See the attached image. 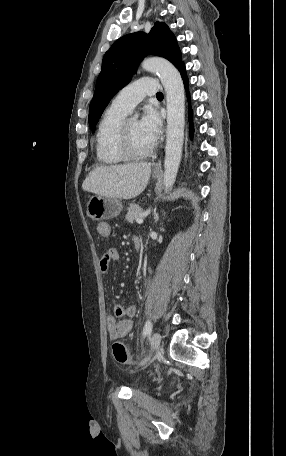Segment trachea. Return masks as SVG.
I'll use <instances>...</instances> for the list:
<instances>
[{
    "mask_svg": "<svg viewBox=\"0 0 286 456\" xmlns=\"http://www.w3.org/2000/svg\"><path fill=\"white\" fill-rule=\"evenodd\" d=\"M156 97H163L162 92H158V93L156 94Z\"/></svg>",
    "mask_w": 286,
    "mask_h": 456,
    "instance_id": "trachea-1",
    "label": "trachea"
}]
</instances>
